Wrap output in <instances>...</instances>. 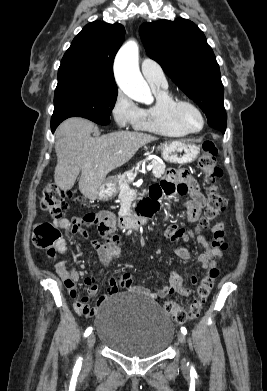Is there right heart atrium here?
Listing matches in <instances>:
<instances>
[{
	"label": "right heart atrium",
	"instance_id": "obj_1",
	"mask_svg": "<svg viewBox=\"0 0 267 391\" xmlns=\"http://www.w3.org/2000/svg\"><path fill=\"white\" fill-rule=\"evenodd\" d=\"M112 117L120 128L134 126L140 116V108L122 91L116 95L111 108Z\"/></svg>",
	"mask_w": 267,
	"mask_h": 391
}]
</instances>
